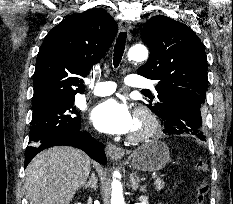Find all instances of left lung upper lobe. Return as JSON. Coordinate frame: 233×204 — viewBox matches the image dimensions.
Listing matches in <instances>:
<instances>
[{"label": "left lung upper lobe", "instance_id": "1", "mask_svg": "<svg viewBox=\"0 0 233 204\" xmlns=\"http://www.w3.org/2000/svg\"><path fill=\"white\" fill-rule=\"evenodd\" d=\"M141 38L148 45L150 56L137 73L158 81L157 99L146 104L152 112H162L163 103L175 94L206 93L207 57L201 41L188 26L157 15L145 23Z\"/></svg>", "mask_w": 233, "mask_h": 204}]
</instances>
